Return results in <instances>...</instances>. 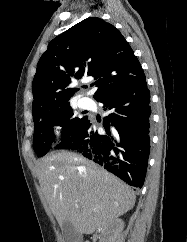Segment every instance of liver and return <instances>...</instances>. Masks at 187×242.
<instances>
[{"label": "liver", "mask_w": 187, "mask_h": 242, "mask_svg": "<svg viewBox=\"0 0 187 242\" xmlns=\"http://www.w3.org/2000/svg\"><path fill=\"white\" fill-rule=\"evenodd\" d=\"M36 175L60 227L69 221L80 234L93 233L135 204L128 185L75 153L53 152L42 158Z\"/></svg>", "instance_id": "obj_1"}]
</instances>
